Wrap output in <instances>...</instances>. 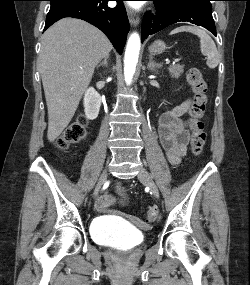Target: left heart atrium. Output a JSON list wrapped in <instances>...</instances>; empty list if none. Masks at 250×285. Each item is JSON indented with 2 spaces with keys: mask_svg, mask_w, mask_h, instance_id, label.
Here are the masks:
<instances>
[{
  "mask_svg": "<svg viewBox=\"0 0 250 285\" xmlns=\"http://www.w3.org/2000/svg\"><path fill=\"white\" fill-rule=\"evenodd\" d=\"M129 5L132 6L133 8H139L141 6V4L138 2H131L129 3Z\"/></svg>",
  "mask_w": 250,
  "mask_h": 285,
  "instance_id": "obj_1",
  "label": "left heart atrium"
}]
</instances>
